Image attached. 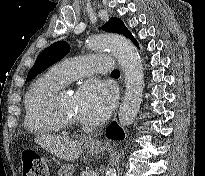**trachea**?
Listing matches in <instances>:
<instances>
[{"label": "trachea", "mask_w": 205, "mask_h": 176, "mask_svg": "<svg viewBox=\"0 0 205 176\" xmlns=\"http://www.w3.org/2000/svg\"><path fill=\"white\" fill-rule=\"evenodd\" d=\"M115 73H118V74H119L120 72H119V70H113V71H112V74H115Z\"/></svg>", "instance_id": "3493384b"}]
</instances>
